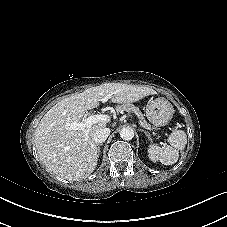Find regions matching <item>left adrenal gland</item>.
<instances>
[{
    "instance_id": "obj_1",
    "label": "left adrenal gland",
    "mask_w": 227,
    "mask_h": 227,
    "mask_svg": "<svg viewBox=\"0 0 227 227\" xmlns=\"http://www.w3.org/2000/svg\"><path fill=\"white\" fill-rule=\"evenodd\" d=\"M140 131H142L143 133H145V135L148 137V139L151 140V135H150L149 132L144 131V130H140Z\"/></svg>"
}]
</instances>
